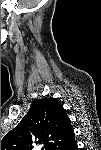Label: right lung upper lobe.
Here are the masks:
<instances>
[{"mask_svg":"<svg viewBox=\"0 0 101 150\" xmlns=\"http://www.w3.org/2000/svg\"><path fill=\"white\" fill-rule=\"evenodd\" d=\"M34 142L58 150H67L74 142L71 122L57 99L34 101L23 120L1 140V150H30Z\"/></svg>","mask_w":101,"mask_h":150,"instance_id":"cb5924a9","label":"right lung upper lobe"}]
</instances>
